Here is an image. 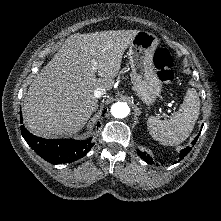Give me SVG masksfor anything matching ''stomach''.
Masks as SVG:
<instances>
[{
  "label": "stomach",
  "mask_w": 221,
  "mask_h": 221,
  "mask_svg": "<svg viewBox=\"0 0 221 221\" xmlns=\"http://www.w3.org/2000/svg\"><path fill=\"white\" fill-rule=\"evenodd\" d=\"M158 43L159 40L154 34L139 31L128 51L136 95L147 106L155 103L162 89V83L153 62Z\"/></svg>",
  "instance_id": "obj_1"
}]
</instances>
